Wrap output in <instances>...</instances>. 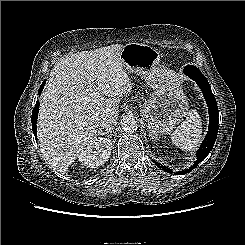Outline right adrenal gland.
Here are the masks:
<instances>
[{"label": "right adrenal gland", "instance_id": "1", "mask_svg": "<svg viewBox=\"0 0 245 245\" xmlns=\"http://www.w3.org/2000/svg\"><path fill=\"white\" fill-rule=\"evenodd\" d=\"M112 132H113V130L107 131V132H103L102 135H109L110 137H112V135H113Z\"/></svg>", "mask_w": 245, "mask_h": 245}]
</instances>
